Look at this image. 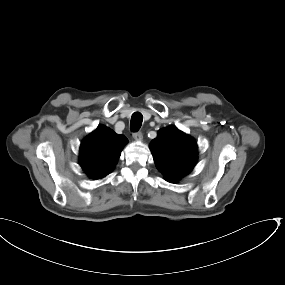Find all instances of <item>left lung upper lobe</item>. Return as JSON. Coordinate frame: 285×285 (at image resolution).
<instances>
[{"mask_svg": "<svg viewBox=\"0 0 285 285\" xmlns=\"http://www.w3.org/2000/svg\"><path fill=\"white\" fill-rule=\"evenodd\" d=\"M149 147L157 169L171 183L187 175L198 158L195 140L175 126L160 129Z\"/></svg>", "mask_w": 285, "mask_h": 285, "instance_id": "left-lung-upper-lobe-1", "label": "left lung upper lobe"}]
</instances>
